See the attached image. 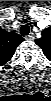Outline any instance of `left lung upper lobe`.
Segmentation results:
<instances>
[{
    "label": "left lung upper lobe",
    "instance_id": "1",
    "mask_svg": "<svg viewBox=\"0 0 51 101\" xmlns=\"http://www.w3.org/2000/svg\"><path fill=\"white\" fill-rule=\"evenodd\" d=\"M35 43L42 49L45 56L51 60V28L42 31V37L35 40Z\"/></svg>",
    "mask_w": 51,
    "mask_h": 101
}]
</instances>
